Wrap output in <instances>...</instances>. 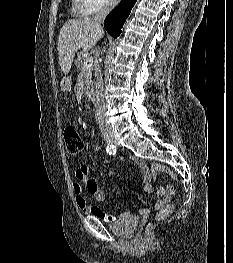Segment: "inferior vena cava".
<instances>
[{
	"mask_svg": "<svg viewBox=\"0 0 233 263\" xmlns=\"http://www.w3.org/2000/svg\"><path fill=\"white\" fill-rule=\"evenodd\" d=\"M117 2L118 0H107L101 11L93 17L92 19L93 22L97 25V27L102 32H103V28L101 24L103 23L104 19L109 14V12L116 6ZM97 55H99V52H97ZM103 89H104V83L102 79V74L99 70L95 83V117L101 130L110 131L111 127L108 124L105 115L106 104H105Z\"/></svg>",
	"mask_w": 233,
	"mask_h": 263,
	"instance_id": "1",
	"label": "inferior vena cava"
}]
</instances>
